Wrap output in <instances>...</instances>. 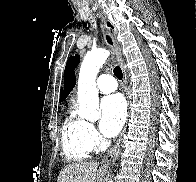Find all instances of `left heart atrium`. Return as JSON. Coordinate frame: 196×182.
<instances>
[{
  "label": "left heart atrium",
  "mask_w": 196,
  "mask_h": 182,
  "mask_svg": "<svg viewBox=\"0 0 196 182\" xmlns=\"http://www.w3.org/2000/svg\"><path fill=\"white\" fill-rule=\"evenodd\" d=\"M100 130L106 137H114L122 129L126 119V104L123 97L113 94L104 97L100 103Z\"/></svg>",
  "instance_id": "39dd6f15"
}]
</instances>
